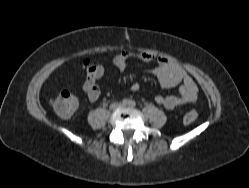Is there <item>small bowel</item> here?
I'll return each mask as SVG.
<instances>
[{"label":"small bowel","instance_id":"1","mask_svg":"<svg viewBox=\"0 0 249 188\" xmlns=\"http://www.w3.org/2000/svg\"><path fill=\"white\" fill-rule=\"evenodd\" d=\"M131 58L146 63L156 62V65L149 72L157 78L161 87L171 88L181 84L178 95H157L155 97L157 104L165 109L173 110L196 101L198 87L194 79L176 62L146 51H124L116 55L112 63L120 71H124ZM84 65L86 66V79L83 84V92L89 102H95L101 95L99 80L105 75V67L102 64H90L87 60L84 61ZM138 89V84L132 85L133 91H138Z\"/></svg>","mask_w":249,"mask_h":188}]
</instances>
